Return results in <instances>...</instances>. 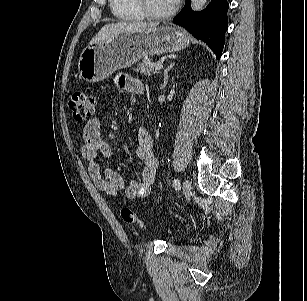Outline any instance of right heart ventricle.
Returning <instances> with one entry per match:
<instances>
[{
    "label": "right heart ventricle",
    "instance_id": "obj_1",
    "mask_svg": "<svg viewBox=\"0 0 307 301\" xmlns=\"http://www.w3.org/2000/svg\"><path fill=\"white\" fill-rule=\"evenodd\" d=\"M113 15L122 21H137L144 19L135 0H109Z\"/></svg>",
    "mask_w": 307,
    "mask_h": 301
}]
</instances>
